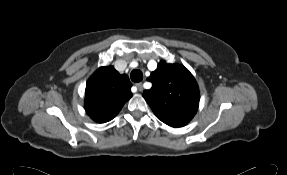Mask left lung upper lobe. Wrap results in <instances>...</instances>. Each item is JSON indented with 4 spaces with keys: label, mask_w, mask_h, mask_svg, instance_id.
<instances>
[{
    "label": "left lung upper lobe",
    "mask_w": 287,
    "mask_h": 175,
    "mask_svg": "<svg viewBox=\"0 0 287 175\" xmlns=\"http://www.w3.org/2000/svg\"><path fill=\"white\" fill-rule=\"evenodd\" d=\"M153 83L143 97L154 114L171 127L185 126L199 106V89L192 74L180 64L161 61L147 78Z\"/></svg>",
    "instance_id": "obj_1"
}]
</instances>
